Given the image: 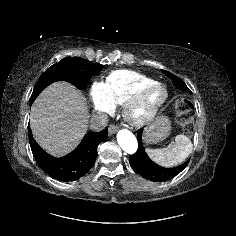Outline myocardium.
Segmentation results:
<instances>
[{"instance_id":"obj_1","label":"myocardium","mask_w":236,"mask_h":236,"mask_svg":"<svg viewBox=\"0 0 236 236\" xmlns=\"http://www.w3.org/2000/svg\"><path fill=\"white\" fill-rule=\"evenodd\" d=\"M160 91L161 95L149 104H145L154 91ZM168 98L167 87L154 82L140 88L132 97L123 104V116L128 124L133 127H143L149 124L158 114L159 109ZM144 107L143 111H139Z\"/></svg>"}]
</instances>
